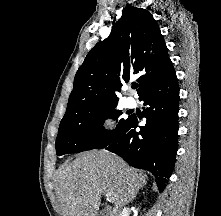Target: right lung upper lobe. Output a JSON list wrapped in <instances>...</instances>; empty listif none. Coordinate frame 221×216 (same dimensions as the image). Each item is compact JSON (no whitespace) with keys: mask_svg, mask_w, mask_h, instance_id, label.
<instances>
[{"mask_svg":"<svg viewBox=\"0 0 221 216\" xmlns=\"http://www.w3.org/2000/svg\"><path fill=\"white\" fill-rule=\"evenodd\" d=\"M122 13L109 37L98 42L79 67L63 119L117 104L121 82L127 83L135 75L139 76L137 92L141 96L174 70L153 16L131 6Z\"/></svg>","mask_w":221,"mask_h":216,"instance_id":"cb5924a9","label":"right lung upper lobe"}]
</instances>
